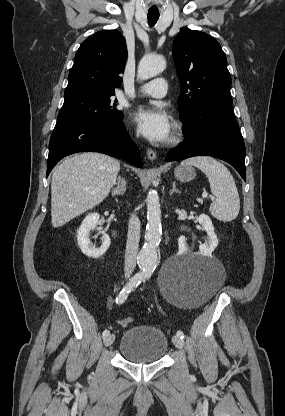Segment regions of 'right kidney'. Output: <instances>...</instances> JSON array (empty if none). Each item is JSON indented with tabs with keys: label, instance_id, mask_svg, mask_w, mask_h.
<instances>
[{
	"label": "right kidney",
	"instance_id": "obj_1",
	"mask_svg": "<svg viewBox=\"0 0 285 416\" xmlns=\"http://www.w3.org/2000/svg\"><path fill=\"white\" fill-rule=\"evenodd\" d=\"M99 214H88L84 218L79 230H77V242L78 246L88 258H100L108 250L111 242L108 234H102L101 242L102 246L100 248H95L89 240V232L91 230H96L98 226Z\"/></svg>",
	"mask_w": 285,
	"mask_h": 416
}]
</instances>
